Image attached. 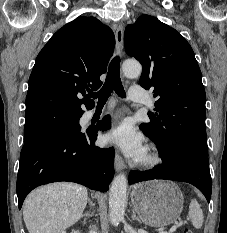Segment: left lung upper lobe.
<instances>
[{
  "instance_id": "obj_1",
  "label": "left lung upper lobe",
  "mask_w": 227,
  "mask_h": 233,
  "mask_svg": "<svg viewBox=\"0 0 227 233\" xmlns=\"http://www.w3.org/2000/svg\"><path fill=\"white\" fill-rule=\"evenodd\" d=\"M126 53L141 62L140 85L151 89L155 113L140 128L161 155L178 146L208 153L206 94L194 52L185 38L157 18L143 15L124 33Z\"/></svg>"
}]
</instances>
